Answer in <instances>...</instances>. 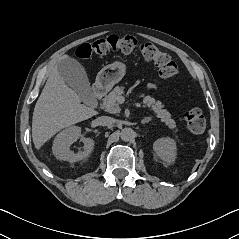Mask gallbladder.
<instances>
[{"mask_svg":"<svg viewBox=\"0 0 239 239\" xmlns=\"http://www.w3.org/2000/svg\"><path fill=\"white\" fill-rule=\"evenodd\" d=\"M57 69L64 81L74 89L83 102L89 104L94 96L83 66L75 59L67 57L58 61Z\"/></svg>","mask_w":239,"mask_h":239,"instance_id":"gallbladder-1","label":"gallbladder"}]
</instances>
